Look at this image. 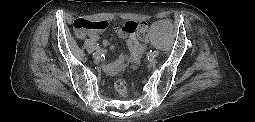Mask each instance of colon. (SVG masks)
Here are the masks:
<instances>
[{"instance_id":"1","label":"colon","mask_w":255,"mask_h":122,"mask_svg":"<svg viewBox=\"0 0 255 122\" xmlns=\"http://www.w3.org/2000/svg\"><path fill=\"white\" fill-rule=\"evenodd\" d=\"M108 26L109 23L105 20L78 18L73 22V30L79 37H83L90 31H103L107 29ZM123 28L130 33L135 32L141 40H144L147 36L146 26L143 23L127 21ZM115 89L121 98L128 97L127 84L124 80H118L115 83Z\"/></svg>"}]
</instances>
